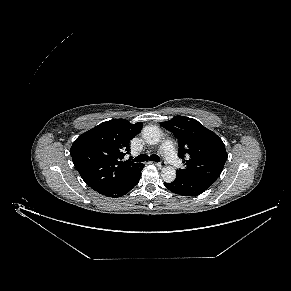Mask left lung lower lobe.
<instances>
[{
    "label": "left lung lower lobe",
    "mask_w": 291,
    "mask_h": 291,
    "mask_svg": "<svg viewBox=\"0 0 291 291\" xmlns=\"http://www.w3.org/2000/svg\"><path fill=\"white\" fill-rule=\"evenodd\" d=\"M216 179L201 178L187 179L177 174L176 179L170 183H164L167 189L182 196H197L207 190Z\"/></svg>",
    "instance_id": "obj_1"
}]
</instances>
